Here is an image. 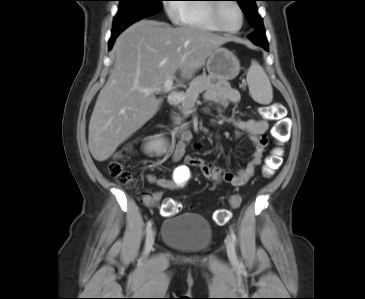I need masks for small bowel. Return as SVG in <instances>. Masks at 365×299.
Segmentation results:
<instances>
[{
	"mask_svg": "<svg viewBox=\"0 0 365 299\" xmlns=\"http://www.w3.org/2000/svg\"><path fill=\"white\" fill-rule=\"evenodd\" d=\"M206 100L210 104L224 109L228 104L238 102L240 100V93L238 90L231 88L227 83L218 82L207 91ZM234 125L237 129L236 136H240L243 132L247 133L255 148L252 158L245 168L234 173L226 171L221 166L209 163L202 158L185 156L186 147L192 135L187 127H183L178 132V141L172 153V160L174 162L183 160L184 164L176 168L172 178L149 175L148 180L163 189L175 190L181 185L182 177L188 174L190 168L196 167L211 182H225L233 187L244 186L253 178L256 168L262 163V158L268 144L265 134L269 124L264 119H238L234 122ZM161 198V192H154L149 195L147 201L148 206L155 208Z\"/></svg>",
	"mask_w": 365,
	"mask_h": 299,
	"instance_id": "obj_1",
	"label": "small bowel"
}]
</instances>
